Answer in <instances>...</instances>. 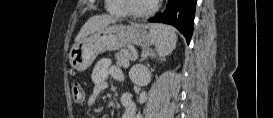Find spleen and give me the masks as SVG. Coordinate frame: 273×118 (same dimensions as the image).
<instances>
[{"instance_id": "spleen-1", "label": "spleen", "mask_w": 273, "mask_h": 118, "mask_svg": "<svg viewBox=\"0 0 273 118\" xmlns=\"http://www.w3.org/2000/svg\"><path fill=\"white\" fill-rule=\"evenodd\" d=\"M150 34L160 57L170 54L176 47L178 38L173 27L154 24L150 27Z\"/></svg>"}]
</instances>
